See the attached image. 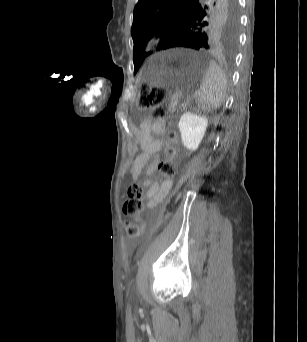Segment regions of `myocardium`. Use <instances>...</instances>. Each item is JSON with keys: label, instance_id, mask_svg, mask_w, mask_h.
Instances as JSON below:
<instances>
[{"label": "myocardium", "instance_id": "myocardium-1", "mask_svg": "<svg viewBox=\"0 0 307 342\" xmlns=\"http://www.w3.org/2000/svg\"><path fill=\"white\" fill-rule=\"evenodd\" d=\"M169 35L166 31L160 30L155 32L152 37L146 42L145 49L147 51H153L166 45Z\"/></svg>", "mask_w": 307, "mask_h": 342}]
</instances>
